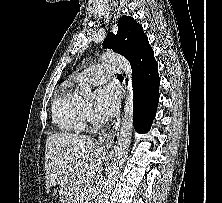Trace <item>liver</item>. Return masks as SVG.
<instances>
[{
  "instance_id": "obj_1",
  "label": "liver",
  "mask_w": 222,
  "mask_h": 203,
  "mask_svg": "<svg viewBox=\"0 0 222 203\" xmlns=\"http://www.w3.org/2000/svg\"><path fill=\"white\" fill-rule=\"evenodd\" d=\"M103 159L102 149L89 136L67 133L49 136L45 148L47 191L58 184L62 197L71 196L72 184L77 179L91 181Z\"/></svg>"
}]
</instances>
